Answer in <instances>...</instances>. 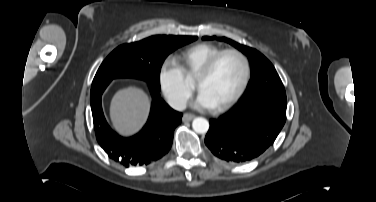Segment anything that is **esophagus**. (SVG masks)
<instances>
[{"label": "esophagus", "instance_id": "obj_1", "mask_svg": "<svg viewBox=\"0 0 376 202\" xmlns=\"http://www.w3.org/2000/svg\"><path fill=\"white\" fill-rule=\"evenodd\" d=\"M194 118H195V115H194V114H191V113H185V114L183 115L182 120H183L184 122H187V121H191V120L194 119Z\"/></svg>", "mask_w": 376, "mask_h": 202}]
</instances>
